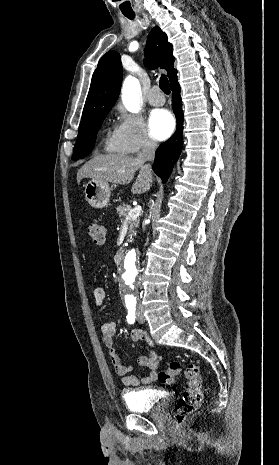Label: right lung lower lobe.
Instances as JSON below:
<instances>
[{
	"label": "right lung lower lobe",
	"instance_id": "obj_1",
	"mask_svg": "<svg viewBox=\"0 0 279 465\" xmlns=\"http://www.w3.org/2000/svg\"><path fill=\"white\" fill-rule=\"evenodd\" d=\"M172 108L176 114L177 131L165 143L161 144L156 150L155 163L153 164L154 172L165 183L171 174L174 163L178 160L183 146V111L182 100L180 97V86L178 81L171 84Z\"/></svg>",
	"mask_w": 279,
	"mask_h": 465
}]
</instances>
